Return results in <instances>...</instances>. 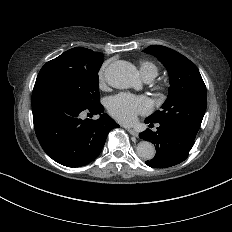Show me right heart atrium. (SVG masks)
<instances>
[{"instance_id":"right-heart-atrium-1","label":"right heart atrium","mask_w":232,"mask_h":232,"mask_svg":"<svg viewBox=\"0 0 232 232\" xmlns=\"http://www.w3.org/2000/svg\"><path fill=\"white\" fill-rule=\"evenodd\" d=\"M106 67H107V65L106 66H104L102 69H101V71H100V76L106 81V79H105V70H106Z\"/></svg>"}]
</instances>
